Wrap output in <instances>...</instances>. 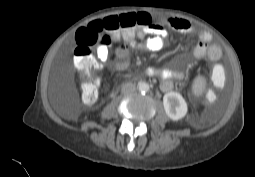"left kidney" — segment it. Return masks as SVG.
I'll use <instances>...</instances> for the list:
<instances>
[{"mask_svg": "<svg viewBox=\"0 0 255 177\" xmlns=\"http://www.w3.org/2000/svg\"><path fill=\"white\" fill-rule=\"evenodd\" d=\"M163 105L168 117L174 121L182 119L187 114V103L177 92L166 93L163 97Z\"/></svg>", "mask_w": 255, "mask_h": 177, "instance_id": "left-kidney-1", "label": "left kidney"}]
</instances>
